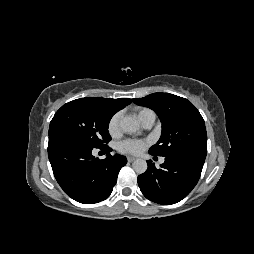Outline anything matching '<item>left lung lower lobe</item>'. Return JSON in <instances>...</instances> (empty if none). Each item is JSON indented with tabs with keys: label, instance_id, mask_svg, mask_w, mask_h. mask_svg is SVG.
I'll use <instances>...</instances> for the list:
<instances>
[{
	"label": "left lung lower lobe",
	"instance_id": "1",
	"mask_svg": "<svg viewBox=\"0 0 254 254\" xmlns=\"http://www.w3.org/2000/svg\"><path fill=\"white\" fill-rule=\"evenodd\" d=\"M204 161L205 157L194 153L166 156L160 168H156L151 160L147 161V171L138 176L140 190L153 202L175 204L193 190L200 178Z\"/></svg>",
	"mask_w": 254,
	"mask_h": 254
}]
</instances>
